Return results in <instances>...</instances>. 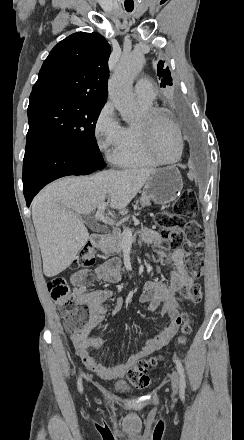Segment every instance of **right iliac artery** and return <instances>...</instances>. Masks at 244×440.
<instances>
[{"label": "right iliac artery", "instance_id": "right-iliac-artery-1", "mask_svg": "<svg viewBox=\"0 0 244 440\" xmlns=\"http://www.w3.org/2000/svg\"><path fill=\"white\" fill-rule=\"evenodd\" d=\"M78 390H79L80 392L83 391V386H82V379H81V377H79V379H78Z\"/></svg>", "mask_w": 244, "mask_h": 440}]
</instances>
